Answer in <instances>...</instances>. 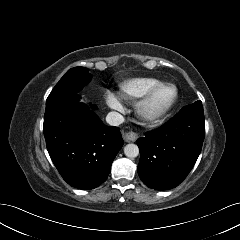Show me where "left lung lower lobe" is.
Here are the masks:
<instances>
[{
	"label": "left lung lower lobe",
	"instance_id": "0a47b994",
	"mask_svg": "<svg viewBox=\"0 0 240 240\" xmlns=\"http://www.w3.org/2000/svg\"><path fill=\"white\" fill-rule=\"evenodd\" d=\"M205 136L201 101L183 107L163 126L137 140L138 175L148 187L167 190L178 186L193 168Z\"/></svg>",
	"mask_w": 240,
	"mask_h": 240
}]
</instances>
